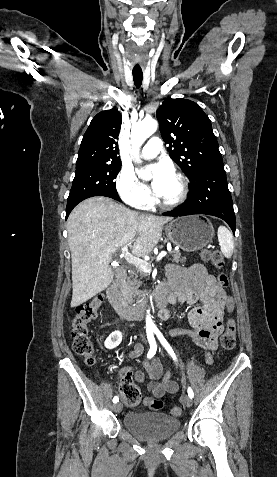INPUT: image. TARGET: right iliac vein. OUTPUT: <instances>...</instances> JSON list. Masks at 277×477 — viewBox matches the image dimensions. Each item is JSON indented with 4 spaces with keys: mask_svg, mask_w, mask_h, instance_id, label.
Returning a JSON list of instances; mask_svg holds the SVG:
<instances>
[{
    "mask_svg": "<svg viewBox=\"0 0 277 477\" xmlns=\"http://www.w3.org/2000/svg\"><path fill=\"white\" fill-rule=\"evenodd\" d=\"M113 410L117 413L121 412L122 410V404L121 403H116L114 406H113Z\"/></svg>",
    "mask_w": 277,
    "mask_h": 477,
    "instance_id": "obj_1",
    "label": "right iliac vein"
}]
</instances>
